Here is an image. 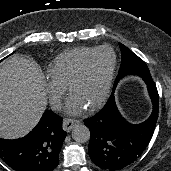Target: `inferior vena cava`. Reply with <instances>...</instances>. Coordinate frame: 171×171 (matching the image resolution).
<instances>
[{
    "label": "inferior vena cava",
    "mask_w": 171,
    "mask_h": 171,
    "mask_svg": "<svg viewBox=\"0 0 171 171\" xmlns=\"http://www.w3.org/2000/svg\"><path fill=\"white\" fill-rule=\"evenodd\" d=\"M51 107H52L54 110H61V108H62L61 101H60V100L52 101V102H51Z\"/></svg>",
    "instance_id": "1"
}]
</instances>
